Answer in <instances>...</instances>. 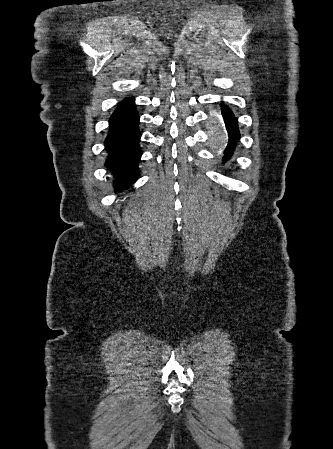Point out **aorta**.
<instances>
[{
    "mask_svg": "<svg viewBox=\"0 0 333 449\" xmlns=\"http://www.w3.org/2000/svg\"><path fill=\"white\" fill-rule=\"evenodd\" d=\"M223 136H222V138L219 140V141H217L216 143L218 144V145H221L222 143H223V141H224V134H222Z\"/></svg>",
    "mask_w": 333,
    "mask_h": 449,
    "instance_id": "obj_1",
    "label": "aorta"
}]
</instances>
